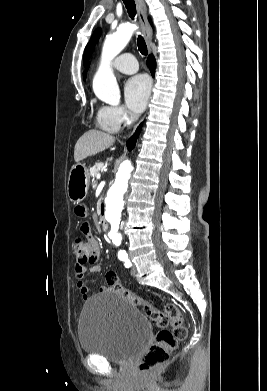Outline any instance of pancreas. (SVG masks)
Listing matches in <instances>:
<instances>
[{
  "mask_svg": "<svg viewBox=\"0 0 267 391\" xmlns=\"http://www.w3.org/2000/svg\"><path fill=\"white\" fill-rule=\"evenodd\" d=\"M102 168H103V163H101V162L95 163V165L90 168V173H89L90 176L95 178Z\"/></svg>",
  "mask_w": 267,
  "mask_h": 391,
  "instance_id": "cf45deb5",
  "label": "pancreas"
}]
</instances>
